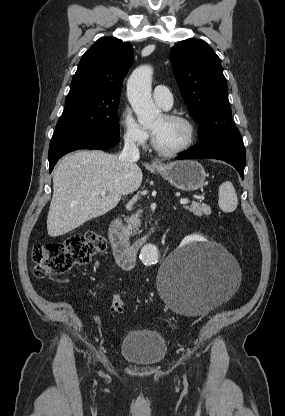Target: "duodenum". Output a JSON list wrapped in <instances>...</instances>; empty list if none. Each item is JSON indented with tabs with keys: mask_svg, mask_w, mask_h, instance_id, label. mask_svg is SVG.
<instances>
[{
	"mask_svg": "<svg viewBox=\"0 0 285 416\" xmlns=\"http://www.w3.org/2000/svg\"><path fill=\"white\" fill-rule=\"evenodd\" d=\"M108 234L112 244L113 254L119 266L124 270L133 269L137 263L139 250L145 243L146 238H140L133 243L129 242L119 218L112 219Z\"/></svg>",
	"mask_w": 285,
	"mask_h": 416,
	"instance_id": "1",
	"label": "duodenum"
}]
</instances>
